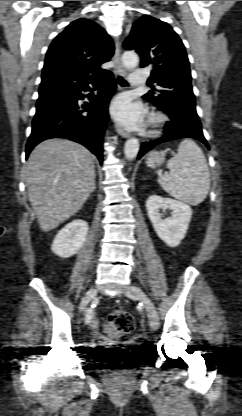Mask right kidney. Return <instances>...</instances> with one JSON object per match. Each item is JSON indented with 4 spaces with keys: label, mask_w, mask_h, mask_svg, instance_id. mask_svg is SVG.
I'll return each instance as SVG.
<instances>
[{
    "label": "right kidney",
    "mask_w": 242,
    "mask_h": 416,
    "mask_svg": "<svg viewBox=\"0 0 242 416\" xmlns=\"http://www.w3.org/2000/svg\"><path fill=\"white\" fill-rule=\"evenodd\" d=\"M87 234V222L81 219L73 220L58 232L51 249L62 258L71 257L81 249Z\"/></svg>",
    "instance_id": "ca27d5eb"
}]
</instances>
